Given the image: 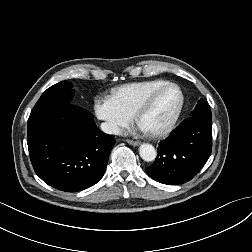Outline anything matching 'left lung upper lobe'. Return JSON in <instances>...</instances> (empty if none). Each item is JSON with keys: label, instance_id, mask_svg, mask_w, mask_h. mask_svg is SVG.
Instances as JSON below:
<instances>
[{"label": "left lung upper lobe", "instance_id": "left-lung-upper-lobe-1", "mask_svg": "<svg viewBox=\"0 0 252 252\" xmlns=\"http://www.w3.org/2000/svg\"><path fill=\"white\" fill-rule=\"evenodd\" d=\"M193 116H206L212 117L211 110L205 101H199L195 109L191 112V117Z\"/></svg>", "mask_w": 252, "mask_h": 252}]
</instances>
